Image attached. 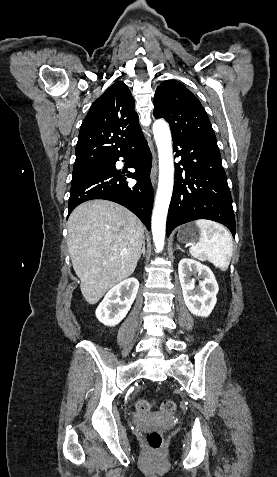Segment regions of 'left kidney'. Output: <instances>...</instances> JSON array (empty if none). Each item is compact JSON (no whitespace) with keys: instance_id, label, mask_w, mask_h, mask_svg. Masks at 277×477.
<instances>
[{"instance_id":"1","label":"left kidney","mask_w":277,"mask_h":477,"mask_svg":"<svg viewBox=\"0 0 277 477\" xmlns=\"http://www.w3.org/2000/svg\"><path fill=\"white\" fill-rule=\"evenodd\" d=\"M179 281L185 305L199 317H208L217 302L219 287L209 267L193 259L183 258L178 264ZM200 277L199 287H195L192 275Z\"/></svg>"}]
</instances>
